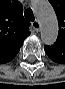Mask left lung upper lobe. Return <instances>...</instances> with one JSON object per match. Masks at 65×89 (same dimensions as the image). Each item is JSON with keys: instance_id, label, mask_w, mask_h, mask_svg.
<instances>
[{"instance_id": "left-lung-upper-lobe-1", "label": "left lung upper lobe", "mask_w": 65, "mask_h": 89, "mask_svg": "<svg viewBox=\"0 0 65 89\" xmlns=\"http://www.w3.org/2000/svg\"><path fill=\"white\" fill-rule=\"evenodd\" d=\"M53 6L59 24L58 38L59 41L65 42V0H49Z\"/></svg>"}]
</instances>
